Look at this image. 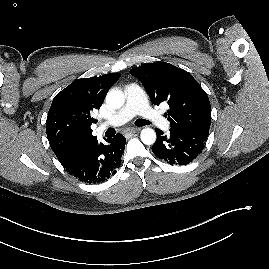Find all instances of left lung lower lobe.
I'll return each instance as SVG.
<instances>
[{"instance_id":"obj_1","label":"left lung lower lobe","mask_w":269,"mask_h":269,"mask_svg":"<svg viewBox=\"0 0 269 269\" xmlns=\"http://www.w3.org/2000/svg\"><path fill=\"white\" fill-rule=\"evenodd\" d=\"M157 140L152 146L156 157L170 165H186L193 161L203 150L209 130L170 129V135L156 129Z\"/></svg>"}]
</instances>
